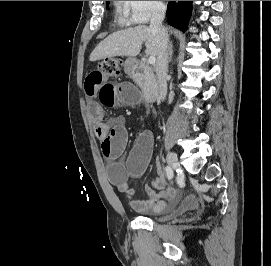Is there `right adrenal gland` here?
Listing matches in <instances>:
<instances>
[{
  "mask_svg": "<svg viewBox=\"0 0 271 266\" xmlns=\"http://www.w3.org/2000/svg\"><path fill=\"white\" fill-rule=\"evenodd\" d=\"M172 54H173V46L172 43L169 44V59H172Z\"/></svg>",
  "mask_w": 271,
  "mask_h": 266,
  "instance_id": "2a0ac1e0",
  "label": "right adrenal gland"
}]
</instances>
